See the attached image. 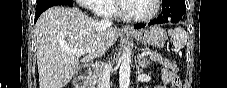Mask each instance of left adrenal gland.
Instances as JSON below:
<instances>
[{
    "label": "left adrenal gland",
    "mask_w": 227,
    "mask_h": 88,
    "mask_svg": "<svg viewBox=\"0 0 227 88\" xmlns=\"http://www.w3.org/2000/svg\"><path fill=\"white\" fill-rule=\"evenodd\" d=\"M137 59H138V67H140L141 70L147 67L148 62L140 54L137 55Z\"/></svg>",
    "instance_id": "a2214340"
}]
</instances>
